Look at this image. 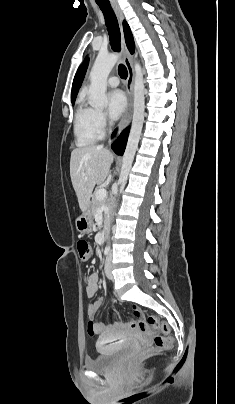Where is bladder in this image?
Wrapping results in <instances>:
<instances>
[{
  "instance_id": "1",
  "label": "bladder",
  "mask_w": 235,
  "mask_h": 404,
  "mask_svg": "<svg viewBox=\"0 0 235 404\" xmlns=\"http://www.w3.org/2000/svg\"><path fill=\"white\" fill-rule=\"evenodd\" d=\"M109 347L99 346V354L93 359L86 360L85 366L92 372L104 373L109 372L120 358L124 349L120 347H114L109 351H106Z\"/></svg>"
}]
</instances>
